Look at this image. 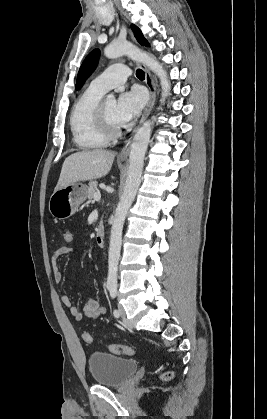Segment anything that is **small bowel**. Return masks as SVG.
Wrapping results in <instances>:
<instances>
[{
    "label": "small bowel",
    "mask_w": 267,
    "mask_h": 419,
    "mask_svg": "<svg viewBox=\"0 0 267 419\" xmlns=\"http://www.w3.org/2000/svg\"><path fill=\"white\" fill-rule=\"evenodd\" d=\"M76 251L75 246L64 245L58 248L52 258L51 266L55 282L59 283L63 279L62 271L59 267V259L63 256L73 254ZM61 302L67 308L76 321H81L84 317L98 319L105 314V308L96 300H89L83 310L76 307L68 295L61 297Z\"/></svg>",
    "instance_id": "obj_1"
}]
</instances>
